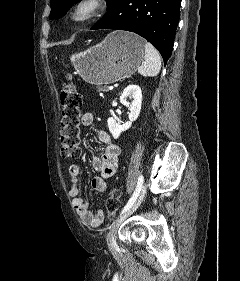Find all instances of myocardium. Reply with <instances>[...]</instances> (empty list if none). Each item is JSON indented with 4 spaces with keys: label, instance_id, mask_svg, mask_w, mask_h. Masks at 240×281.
<instances>
[{
    "label": "myocardium",
    "instance_id": "myocardium-1",
    "mask_svg": "<svg viewBox=\"0 0 240 281\" xmlns=\"http://www.w3.org/2000/svg\"><path fill=\"white\" fill-rule=\"evenodd\" d=\"M103 7V0H77L71 5L67 18L73 24L86 23L96 18Z\"/></svg>",
    "mask_w": 240,
    "mask_h": 281
}]
</instances>
